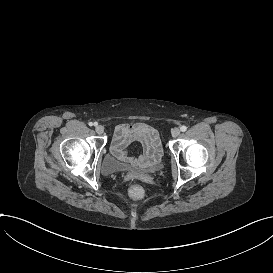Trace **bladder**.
<instances>
[{
	"label": "bladder",
	"instance_id": "bladder-1",
	"mask_svg": "<svg viewBox=\"0 0 273 273\" xmlns=\"http://www.w3.org/2000/svg\"><path fill=\"white\" fill-rule=\"evenodd\" d=\"M102 171L106 175H113L130 170V166L122 161L117 160L108 154L102 162ZM162 168V160L159 159L154 165L150 166L147 171L154 172Z\"/></svg>",
	"mask_w": 273,
	"mask_h": 273
}]
</instances>
